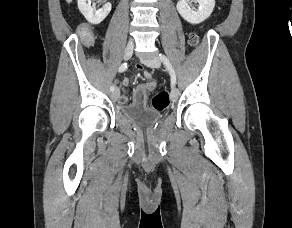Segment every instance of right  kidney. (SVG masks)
I'll list each match as a JSON object with an SVG mask.
<instances>
[{"instance_id": "obj_1", "label": "right kidney", "mask_w": 292, "mask_h": 228, "mask_svg": "<svg viewBox=\"0 0 292 228\" xmlns=\"http://www.w3.org/2000/svg\"><path fill=\"white\" fill-rule=\"evenodd\" d=\"M78 8L89 23L97 25L107 17L112 5L111 3H105L101 9L96 10L91 6V0H78Z\"/></svg>"}]
</instances>
